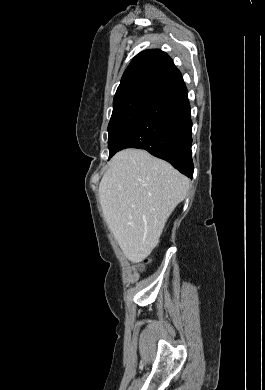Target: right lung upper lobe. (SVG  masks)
Here are the masks:
<instances>
[{
	"mask_svg": "<svg viewBox=\"0 0 265 390\" xmlns=\"http://www.w3.org/2000/svg\"><path fill=\"white\" fill-rule=\"evenodd\" d=\"M182 81L180 71L165 52L145 50L126 68L113 103L136 96L156 99Z\"/></svg>",
	"mask_w": 265,
	"mask_h": 390,
	"instance_id": "obj_1",
	"label": "right lung upper lobe"
}]
</instances>
